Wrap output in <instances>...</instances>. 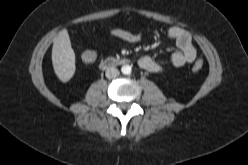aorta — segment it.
Wrapping results in <instances>:
<instances>
[{
	"mask_svg": "<svg viewBox=\"0 0 248 165\" xmlns=\"http://www.w3.org/2000/svg\"><path fill=\"white\" fill-rule=\"evenodd\" d=\"M121 71L123 74L129 75L131 73L132 69H131V66H129V65H123L121 68Z\"/></svg>",
	"mask_w": 248,
	"mask_h": 165,
	"instance_id": "762f6f07",
	"label": "aorta"
}]
</instances>
